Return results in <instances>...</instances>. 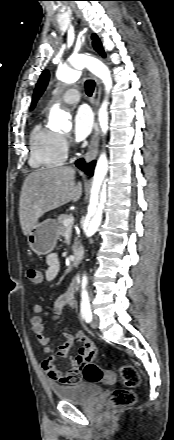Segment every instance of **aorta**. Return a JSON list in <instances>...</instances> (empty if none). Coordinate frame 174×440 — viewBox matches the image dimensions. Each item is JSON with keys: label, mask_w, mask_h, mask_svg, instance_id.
<instances>
[{"label": "aorta", "mask_w": 174, "mask_h": 440, "mask_svg": "<svg viewBox=\"0 0 174 440\" xmlns=\"http://www.w3.org/2000/svg\"><path fill=\"white\" fill-rule=\"evenodd\" d=\"M81 63L79 61H71L65 64L61 69V79L63 81H75L79 78L81 72ZM70 115L59 108V104L52 107L49 115V128L51 130L69 131L72 127ZM99 122L101 129L106 131L108 128V113L106 104H103L99 111ZM106 156L102 154L95 171L92 195L88 207V214L84 223V232L87 237H91L97 231L101 220L103 209L106 203ZM87 279L83 278L82 285L86 286Z\"/></svg>", "instance_id": "762f6f07"}]
</instances>
